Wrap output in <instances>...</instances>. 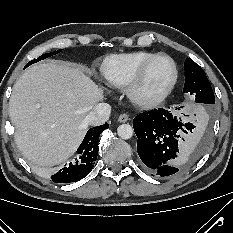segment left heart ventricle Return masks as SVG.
<instances>
[{
	"mask_svg": "<svg viewBox=\"0 0 233 233\" xmlns=\"http://www.w3.org/2000/svg\"><path fill=\"white\" fill-rule=\"evenodd\" d=\"M172 73V64L168 59L157 60L146 73L141 86V93L145 96L158 93L171 79Z\"/></svg>",
	"mask_w": 233,
	"mask_h": 233,
	"instance_id": "left-heart-ventricle-1",
	"label": "left heart ventricle"
}]
</instances>
